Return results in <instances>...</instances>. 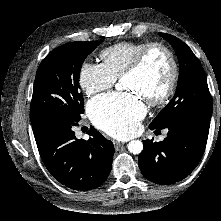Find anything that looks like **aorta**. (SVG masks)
Returning <instances> with one entry per match:
<instances>
[{
    "label": "aorta",
    "instance_id": "762f6f07",
    "mask_svg": "<svg viewBox=\"0 0 221 221\" xmlns=\"http://www.w3.org/2000/svg\"><path fill=\"white\" fill-rule=\"evenodd\" d=\"M117 89H121L119 85H117ZM128 150L133 154H140L143 150V143L140 140H132L128 143Z\"/></svg>",
    "mask_w": 221,
    "mask_h": 221
}]
</instances>
